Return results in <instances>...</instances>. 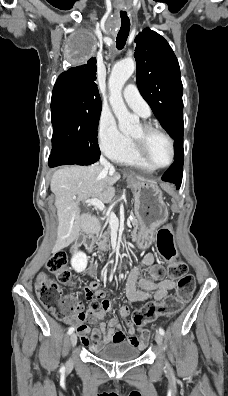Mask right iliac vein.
<instances>
[{
    "instance_id": "right-iliac-vein-1",
    "label": "right iliac vein",
    "mask_w": 228,
    "mask_h": 396,
    "mask_svg": "<svg viewBox=\"0 0 228 396\" xmlns=\"http://www.w3.org/2000/svg\"><path fill=\"white\" fill-rule=\"evenodd\" d=\"M70 343H71L72 347H74L76 345V343H77V335L75 333L71 334Z\"/></svg>"
}]
</instances>
